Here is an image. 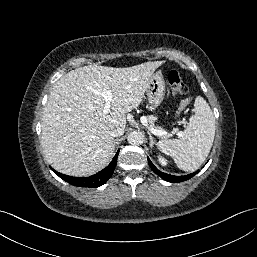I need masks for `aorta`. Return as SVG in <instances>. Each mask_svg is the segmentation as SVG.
Masks as SVG:
<instances>
[{
    "mask_svg": "<svg viewBox=\"0 0 257 257\" xmlns=\"http://www.w3.org/2000/svg\"><path fill=\"white\" fill-rule=\"evenodd\" d=\"M144 141V136L140 131H133L128 136V142L132 145H141Z\"/></svg>",
    "mask_w": 257,
    "mask_h": 257,
    "instance_id": "aorta-1",
    "label": "aorta"
}]
</instances>
